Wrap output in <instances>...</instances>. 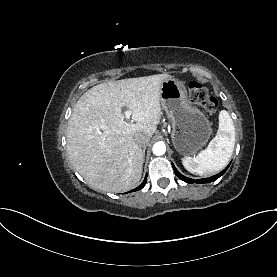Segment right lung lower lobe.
Returning <instances> with one entry per match:
<instances>
[{"label": "right lung lower lobe", "mask_w": 277, "mask_h": 277, "mask_svg": "<svg viewBox=\"0 0 277 277\" xmlns=\"http://www.w3.org/2000/svg\"><path fill=\"white\" fill-rule=\"evenodd\" d=\"M146 180H147V176L145 177L141 185H139L136 189L131 190L130 192L142 189L146 183Z\"/></svg>", "instance_id": "1"}]
</instances>
